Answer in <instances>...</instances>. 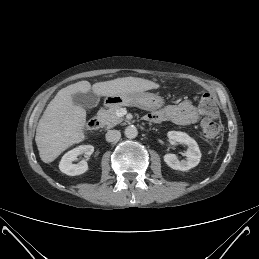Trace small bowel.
I'll use <instances>...</instances> for the list:
<instances>
[{
  "mask_svg": "<svg viewBox=\"0 0 259 259\" xmlns=\"http://www.w3.org/2000/svg\"><path fill=\"white\" fill-rule=\"evenodd\" d=\"M201 114L206 115L201 103L200 107H196L191 101L184 100L151 112L145 116V119L153 123L169 121L177 125H190L196 123Z\"/></svg>",
  "mask_w": 259,
  "mask_h": 259,
  "instance_id": "c3829d8e",
  "label": "small bowel"
}]
</instances>
